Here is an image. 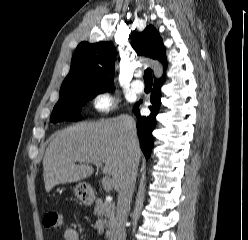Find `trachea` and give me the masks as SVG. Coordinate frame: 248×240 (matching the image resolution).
Wrapping results in <instances>:
<instances>
[{"mask_svg": "<svg viewBox=\"0 0 248 240\" xmlns=\"http://www.w3.org/2000/svg\"><path fill=\"white\" fill-rule=\"evenodd\" d=\"M144 82H145V84H151L152 85L153 79H152V70L151 69H146L144 71Z\"/></svg>", "mask_w": 248, "mask_h": 240, "instance_id": "obj_1", "label": "trachea"}]
</instances>
